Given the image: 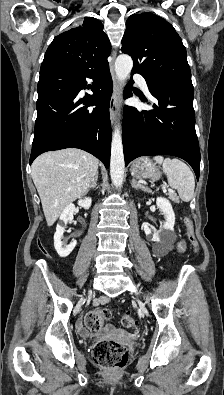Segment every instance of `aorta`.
Instances as JSON below:
<instances>
[{
  "label": "aorta",
  "mask_w": 224,
  "mask_h": 395,
  "mask_svg": "<svg viewBox=\"0 0 224 395\" xmlns=\"http://www.w3.org/2000/svg\"><path fill=\"white\" fill-rule=\"evenodd\" d=\"M133 67V60L129 55H119L115 61V72L117 79L123 83L129 76ZM124 153L120 126H116L112 134L110 175L115 187L122 185L124 178Z\"/></svg>",
  "instance_id": "aorta-1"
}]
</instances>
